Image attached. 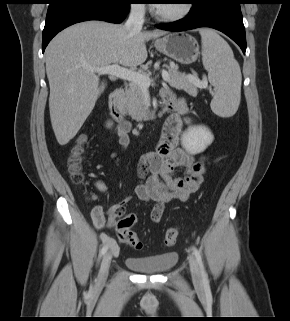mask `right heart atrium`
I'll return each instance as SVG.
<instances>
[{"label": "right heart atrium", "mask_w": 290, "mask_h": 321, "mask_svg": "<svg viewBox=\"0 0 290 321\" xmlns=\"http://www.w3.org/2000/svg\"><path fill=\"white\" fill-rule=\"evenodd\" d=\"M131 10L136 14H143L145 12V3L143 0H134L131 5Z\"/></svg>", "instance_id": "right-heart-atrium-1"}]
</instances>
